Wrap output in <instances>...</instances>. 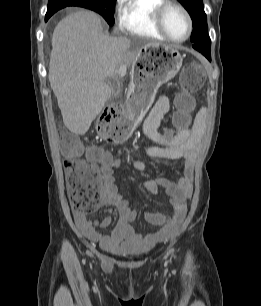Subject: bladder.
Masks as SVG:
<instances>
[{
    "label": "bladder",
    "instance_id": "bladder-1",
    "mask_svg": "<svg viewBox=\"0 0 261 306\" xmlns=\"http://www.w3.org/2000/svg\"><path fill=\"white\" fill-rule=\"evenodd\" d=\"M122 255H126V258L135 260L139 257L136 253H123Z\"/></svg>",
    "mask_w": 261,
    "mask_h": 306
}]
</instances>
